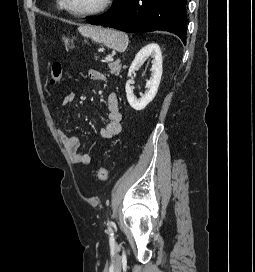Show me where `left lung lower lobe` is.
Wrapping results in <instances>:
<instances>
[{
    "mask_svg": "<svg viewBox=\"0 0 255 272\" xmlns=\"http://www.w3.org/2000/svg\"><path fill=\"white\" fill-rule=\"evenodd\" d=\"M186 4L187 0H114L108 13L86 21L127 33L168 31L185 44Z\"/></svg>",
    "mask_w": 255,
    "mask_h": 272,
    "instance_id": "1",
    "label": "left lung lower lobe"
}]
</instances>
